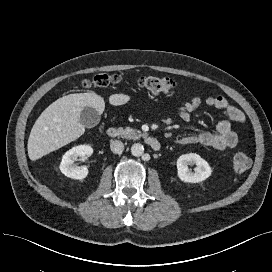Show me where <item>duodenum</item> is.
Wrapping results in <instances>:
<instances>
[{"mask_svg":"<svg viewBox=\"0 0 272 272\" xmlns=\"http://www.w3.org/2000/svg\"><path fill=\"white\" fill-rule=\"evenodd\" d=\"M107 134L111 139H115L120 135L119 130L116 127L109 128ZM144 141L152 150L158 151L160 149V143L154 137L145 135Z\"/></svg>","mask_w":272,"mask_h":272,"instance_id":"410a0bca","label":"duodenum"}]
</instances>
